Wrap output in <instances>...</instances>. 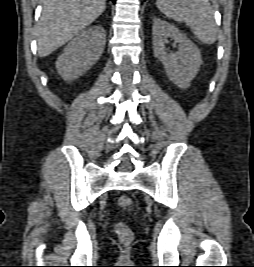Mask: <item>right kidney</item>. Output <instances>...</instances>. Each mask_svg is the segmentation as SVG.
<instances>
[{
	"label": "right kidney",
	"instance_id": "right-kidney-1",
	"mask_svg": "<svg viewBox=\"0 0 254 267\" xmlns=\"http://www.w3.org/2000/svg\"><path fill=\"white\" fill-rule=\"evenodd\" d=\"M106 42L102 26L89 27L79 33L64 49L56 61V69L65 81L83 75L101 57Z\"/></svg>",
	"mask_w": 254,
	"mask_h": 267
}]
</instances>
